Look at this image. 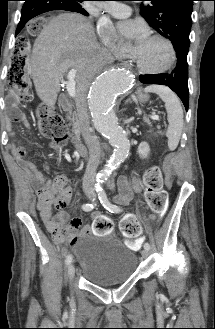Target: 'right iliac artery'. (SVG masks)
Returning a JSON list of instances; mask_svg holds the SVG:
<instances>
[{
	"mask_svg": "<svg viewBox=\"0 0 215 329\" xmlns=\"http://www.w3.org/2000/svg\"><path fill=\"white\" fill-rule=\"evenodd\" d=\"M96 206V202H92V203H88V204H84L82 206V209L84 211H91L94 207ZM72 262V256L68 255L66 258V264H70Z\"/></svg>",
	"mask_w": 215,
	"mask_h": 329,
	"instance_id": "right-iliac-artery-1",
	"label": "right iliac artery"
}]
</instances>
